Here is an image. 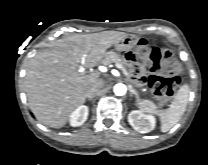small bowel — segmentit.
<instances>
[{
    "label": "small bowel",
    "instance_id": "small-bowel-1",
    "mask_svg": "<svg viewBox=\"0 0 208 165\" xmlns=\"http://www.w3.org/2000/svg\"><path fill=\"white\" fill-rule=\"evenodd\" d=\"M124 59L130 62L131 72L136 77L138 84L141 87H148L150 85V78L146 70L142 67V60L136 50H129L124 54Z\"/></svg>",
    "mask_w": 208,
    "mask_h": 165
}]
</instances>
